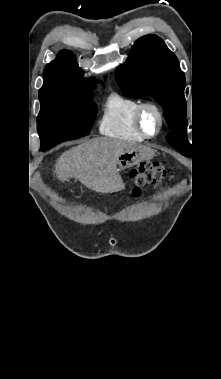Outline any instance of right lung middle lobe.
Returning a JSON list of instances; mask_svg holds the SVG:
<instances>
[{
    "instance_id": "right-lung-middle-lobe-1",
    "label": "right lung middle lobe",
    "mask_w": 221,
    "mask_h": 379,
    "mask_svg": "<svg viewBox=\"0 0 221 379\" xmlns=\"http://www.w3.org/2000/svg\"><path fill=\"white\" fill-rule=\"evenodd\" d=\"M92 91L77 97L56 96L39 98L41 110L37 117L40 149H50L58 143L89 134L97 116Z\"/></svg>"
}]
</instances>
